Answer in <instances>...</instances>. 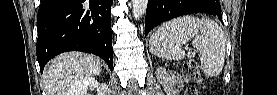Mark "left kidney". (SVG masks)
Masks as SVG:
<instances>
[{"mask_svg": "<svg viewBox=\"0 0 277 95\" xmlns=\"http://www.w3.org/2000/svg\"><path fill=\"white\" fill-rule=\"evenodd\" d=\"M156 76L162 83L164 88L174 91L176 90V85L181 84L180 78H177L176 74L172 71L166 70L165 68H158L156 70Z\"/></svg>", "mask_w": 277, "mask_h": 95, "instance_id": "obj_1", "label": "left kidney"}]
</instances>
